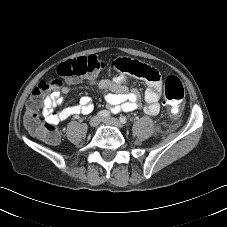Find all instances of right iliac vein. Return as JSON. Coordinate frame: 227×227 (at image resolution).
Listing matches in <instances>:
<instances>
[{
    "mask_svg": "<svg viewBox=\"0 0 227 227\" xmlns=\"http://www.w3.org/2000/svg\"><path fill=\"white\" fill-rule=\"evenodd\" d=\"M99 123H100V117H98V116L92 117L89 121V125L91 127H96Z\"/></svg>",
    "mask_w": 227,
    "mask_h": 227,
    "instance_id": "right-iliac-vein-1",
    "label": "right iliac vein"
}]
</instances>
